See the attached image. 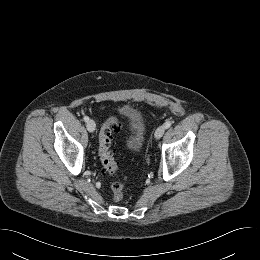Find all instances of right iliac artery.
<instances>
[{
	"mask_svg": "<svg viewBox=\"0 0 260 260\" xmlns=\"http://www.w3.org/2000/svg\"><path fill=\"white\" fill-rule=\"evenodd\" d=\"M83 119H84V121H85V122H88V120H89V117H88V116H84V118H83Z\"/></svg>",
	"mask_w": 260,
	"mask_h": 260,
	"instance_id": "1",
	"label": "right iliac artery"
}]
</instances>
